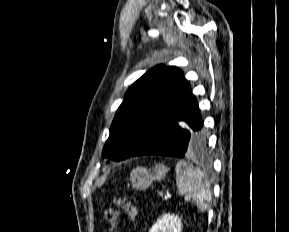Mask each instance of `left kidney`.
<instances>
[{
    "label": "left kidney",
    "mask_w": 289,
    "mask_h": 232,
    "mask_svg": "<svg viewBox=\"0 0 289 232\" xmlns=\"http://www.w3.org/2000/svg\"><path fill=\"white\" fill-rule=\"evenodd\" d=\"M182 222L177 215L165 214L157 220L149 232H181Z\"/></svg>",
    "instance_id": "obj_1"
}]
</instances>
